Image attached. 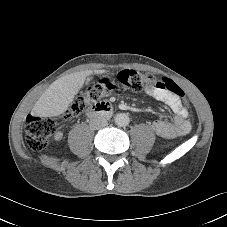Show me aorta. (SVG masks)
<instances>
[{
  "mask_svg": "<svg viewBox=\"0 0 227 227\" xmlns=\"http://www.w3.org/2000/svg\"><path fill=\"white\" fill-rule=\"evenodd\" d=\"M115 123L116 125L120 126V127H124L127 126L130 122V119L128 117L127 114L125 113H119L115 116Z\"/></svg>",
  "mask_w": 227,
  "mask_h": 227,
  "instance_id": "aorta-1",
  "label": "aorta"
}]
</instances>
